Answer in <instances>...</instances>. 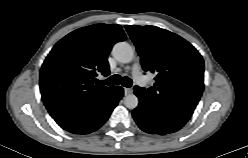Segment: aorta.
I'll return each mask as SVG.
<instances>
[{
    "label": "aorta",
    "instance_id": "obj_1",
    "mask_svg": "<svg viewBox=\"0 0 248 158\" xmlns=\"http://www.w3.org/2000/svg\"><path fill=\"white\" fill-rule=\"evenodd\" d=\"M113 57L121 63H129L133 60L134 50L127 42H118L112 49ZM139 100L136 95L129 94L124 98V105L128 109H135L138 106Z\"/></svg>",
    "mask_w": 248,
    "mask_h": 158
}]
</instances>
